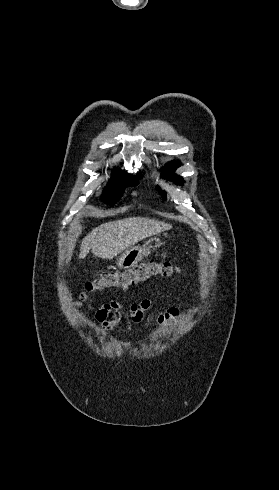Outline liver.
Wrapping results in <instances>:
<instances>
[{
  "label": "liver",
  "mask_w": 279,
  "mask_h": 490,
  "mask_svg": "<svg viewBox=\"0 0 279 490\" xmlns=\"http://www.w3.org/2000/svg\"><path fill=\"white\" fill-rule=\"evenodd\" d=\"M171 228L170 224L149 220V218H124L117 222L101 224L83 238L79 258L84 260L91 250L93 256H98L102 260H113L117 254L133 244H138L145 238L157 236Z\"/></svg>",
  "instance_id": "1"
}]
</instances>
